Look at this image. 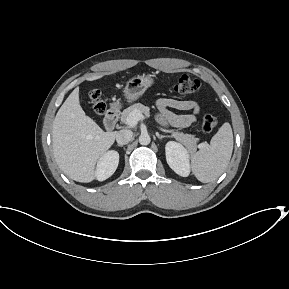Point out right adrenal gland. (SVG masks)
<instances>
[{
    "mask_svg": "<svg viewBox=\"0 0 289 289\" xmlns=\"http://www.w3.org/2000/svg\"><path fill=\"white\" fill-rule=\"evenodd\" d=\"M117 146H118V147H122V145H119V144H118Z\"/></svg>",
    "mask_w": 289,
    "mask_h": 289,
    "instance_id": "obj_1",
    "label": "right adrenal gland"
}]
</instances>
